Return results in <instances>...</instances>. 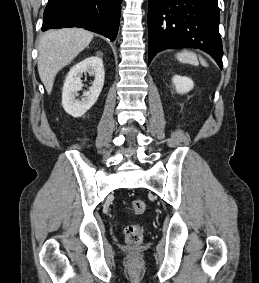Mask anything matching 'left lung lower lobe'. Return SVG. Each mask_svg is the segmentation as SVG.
<instances>
[{"label": "left lung lower lobe", "mask_w": 259, "mask_h": 283, "mask_svg": "<svg viewBox=\"0 0 259 283\" xmlns=\"http://www.w3.org/2000/svg\"><path fill=\"white\" fill-rule=\"evenodd\" d=\"M219 16L218 0H149V63L164 49L197 48L222 68Z\"/></svg>", "instance_id": "0a47b994"}]
</instances>
